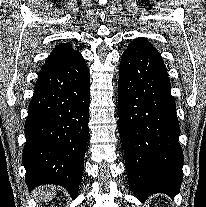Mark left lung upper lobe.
<instances>
[{
    "label": "left lung upper lobe",
    "instance_id": "left-lung-upper-lobe-1",
    "mask_svg": "<svg viewBox=\"0 0 206 207\" xmlns=\"http://www.w3.org/2000/svg\"><path fill=\"white\" fill-rule=\"evenodd\" d=\"M130 45H136L139 46L145 50L152 51V52H157L156 48H154L145 38H136L131 42Z\"/></svg>",
    "mask_w": 206,
    "mask_h": 207
}]
</instances>
